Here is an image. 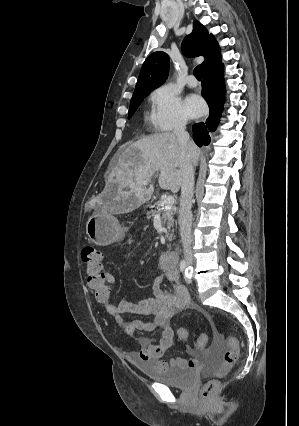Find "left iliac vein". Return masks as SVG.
<instances>
[{
  "mask_svg": "<svg viewBox=\"0 0 299 426\" xmlns=\"http://www.w3.org/2000/svg\"><path fill=\"white\" fill-rule=\"evenodd\" d=\"M188 269H189V268H187L186 270H188ZM185 281H186V282H188V283H190V282H191V278H189V277H187V276H186V277H185Z\"/></svg>",
  "mask_w": 299,
  "mask_h": 426,
  "instance_id": "1",
  "label": "left iliac vein"
}]
</instances>
